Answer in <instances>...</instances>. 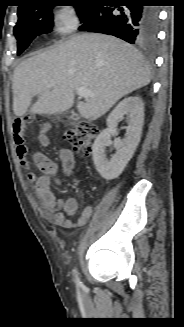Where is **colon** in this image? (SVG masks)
Returning a JSON list of instances; mask_svg holds the SVG:
<instances>
[{"instance_id": "obj_1", "label": "colon", "mask_w": 184, "mask_h": 327, "mask_svg": "<svg viewBox=\"0 0 184 327\" xmlns=\"http://www.w3.org/2000/svg\"><path fill=\"white\" fill-rule=\"evenodd\" d=\"M34 115L17 118L13 122L12 131L17 154L24 157L27 153L26 131L28 126L37 122ZM97 127L90 121L81 120L71 124L63 132V139L77 150L90 153L93 141L97 135Z\"/></svg>"}]
</instances>
